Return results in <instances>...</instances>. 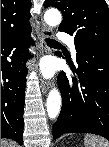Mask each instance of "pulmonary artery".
Masks as SVG:
<instances>
[{
	"label": "pulmonary artery",
	"instance_id": "1",
	"mask_svg": "<svg viewBox=\"0 0 109 147\" xmlns=\"http://www.w3.org/2000/svg\"><path fill=\"white\" fill-rule=\"evenodd\" d=\"M58 40L61 41V42L66 43L69 46L73 56L76 55L74 39H73V37L71 35L66 34V33H61V34L58 35Z\"/></svg>",
	"mask_w": 109,
	"mask_h": 147
}]
</instances>
